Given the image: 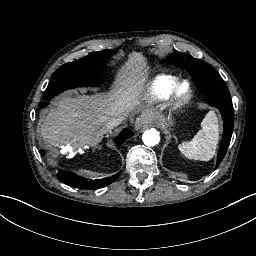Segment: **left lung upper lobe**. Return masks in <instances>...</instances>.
<instances>
[{"label":"left lung upper lobe","instance_id":"left-lung-upper-lobe-1","mask_svg":"<svg viewBox=\"0 0 256 256\" xmlns=\"http://www.w3.org/2000/svg\"><path fill=\"white\" fill-rule=\"evenodd\" d=\"M170 62L180 68H185L195 78V83L203 93L206 102L217 107L222 114L224 129L217 157V167L228 149L234 127V109L229 90L216 71L202 60L191 57L184 60L181 56H172Z\"/></svg>","mask_w":256,"mask_h":256}]
</instances>
